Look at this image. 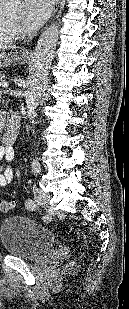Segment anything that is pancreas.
Segmentation results:
<instances>
[{
	"instance_id": "cf45deb5",
	"label": "pancreas",
	"mask_w": 129,
	"mask_h": 309,
	"mask_svg": "<svg viewBox=\"0 0 129 309\" xmlns=\"http://www.w3.org/2000/svg\"><path fill=\"white\" fill-rule=\"evenodd\" d=\"M4 77V74H0V83L3 82Z\"/></svg>"
}]
</instances>
